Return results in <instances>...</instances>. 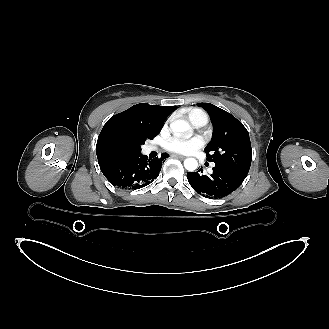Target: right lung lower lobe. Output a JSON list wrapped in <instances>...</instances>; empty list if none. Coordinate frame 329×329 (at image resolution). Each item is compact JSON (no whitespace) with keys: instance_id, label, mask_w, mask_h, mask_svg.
Wrapping results in <instances>:
<instances>
[{"instance_id":"1","label":"right lung lower lobe","mask_w":329,"mask_h":329,"mask_svg":"<svg viewBox=\"0 0 329 329\" xmlns=\"http://www.w3.org/2000/svg\"><path fill=\"white\" fill-rule=\"evenodd\" d=\"M168 154L162 153L160 158L148 159L141 152L122 157L109 158L99 162L104 176L114 186L125 190H136L147 186L156 179L164 159Z\"/></svg>"}]
</instances>
